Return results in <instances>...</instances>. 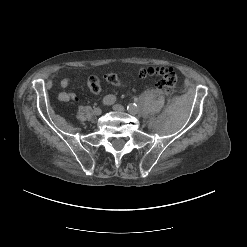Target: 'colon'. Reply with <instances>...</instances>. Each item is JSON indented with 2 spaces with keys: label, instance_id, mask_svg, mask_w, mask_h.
Masks as SVG:
<instances>
[{
  "label": "colon",
  "instance_id": "1",
  "mask_svg": "<svg viewBox=\"0 0 247 247\" xmlns=\"http://www.w3.org/2000/svg\"><path fill=\"white\" fill-rule=\"evenodd\" d=\"M140 75L143 77H145V76H158L159 80H158L156 86L160 91L167 93V94L173 92L174 88L176 87L177 81H178V76H177L176 72L172 68L165 67V66L143 67L140 70ZM105 79L109 83H111L115 86H119V87L122 86V83L116 74L108 73V74H106ZM88 87L92 93L98 94L101 90V83H100L98 78L91 77L88 80Z\"/></svg>",
  "mask_w": 247,
  "mask_h": 247
}]
</instances>
